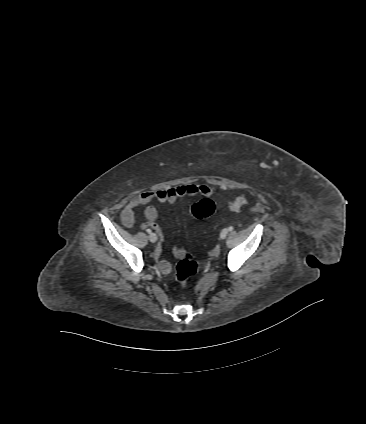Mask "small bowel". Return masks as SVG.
Listing matches in <instances>:
<instances>
[{
	"mask_svg": "<svg viewBox=\"0 0 366 424\" xmlns=\"http://www.w3.org/2000/svg\"><path fill=\"white\" fill-rule=\"evenodd\" d=\"M214 193L212 187L206 184H185L176 187L158 189L156 191H147L138 194L132 198L122 209L120 217L123 225L132 228L135 221V209L144 207L145 221L141 224L142 228H153L163 240L161 228L155 223L158 217V211L151 203L158 201L160 203H174L177 199L189 196L210 197ZM161 252V246L155 249V255ZM160 270L164 273L169 272L170 263L163 260L159 264Z\"/></svg>",
	"mask_w": 366,
	"mask_h": 424,
	"instance_id": "c3829d8e",
	"label": "small bowel"
}]
</instances>
